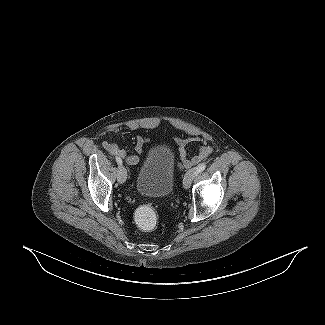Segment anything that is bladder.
Wrapping results in <instances>:
<instances>
[{
	"label": "bladder",
	"mask_w": 325,
	"mask_h": 325,
	"mask_svg": "<svg viewBox=\"0 0 325 325\" xmlns=\"http://www.w3.org/2000/svg\"><path fill=\"white\" fill-rule=\"evenodd\" d=\"M175 185V154L167 144L149 149L136 175V188L145 196L166 197Z\"/></svg>",
	"instance_id": "bladder-1"
}]
</instances>
